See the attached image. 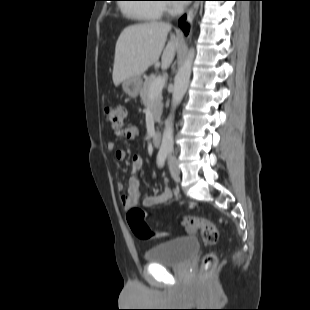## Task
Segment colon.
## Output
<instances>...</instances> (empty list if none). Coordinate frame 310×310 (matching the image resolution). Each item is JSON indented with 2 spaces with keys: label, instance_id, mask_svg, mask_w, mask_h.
<instances>
[{
  "label": "colon",
  "instance_id": "colon-1",
  "mask_svg": "<svg viewBox=\"0 0 310 310\" xmlns=\"http://www.w3.org/2000/svg\"><path fill=\"white\" fill-rule=\"evenodd\" d=\"M126 114V108L122 104L107 106L104 109L105 120L114 130L122 127L123 119ZM127 222L132 232L140 239H159L166 236L165 232L151 229L145 221V213L138 207H131L127 212ZM181 222L189 229H198L201 231L202 239L206 244H214L219 238V232L211 221L194 216H186ZM216 256L213 253H207L202 262V272L204 275L210 274L216 266Z\"/></svg>",
  "mask_w": 310,
  "mask_h": 310
}]
</instances>
